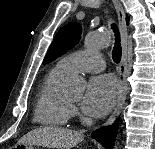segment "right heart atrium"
<instances>
[{"instance_id": "right-heart-atrium-1", "label": "right heart atrium", "mask_w": 155, "mask_h": 149, "mask_svg": "<svg viewBox=\"0 0 155 149\" xmlns=\"http://www.w3.org/2000/svg\"><path fill=\"white\" fill-rule=\"evenodd\" d=\"M72 115H78V110L75 107H72Z\"/></svg>"}]
</instances>
